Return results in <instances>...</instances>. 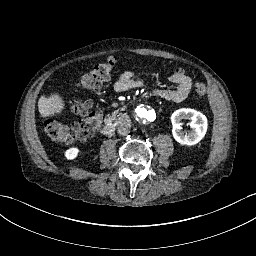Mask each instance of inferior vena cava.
Masks as SVG:
<instances>
[{
  "label": "inferior vena cava",
  "instance_id": "obj_1",
  "mask_svg": "<svg viewBox=\"0 0 256 256\" xmlns=\"http://www.w3.org/2000/svg\"><path fill=\"white\" fill-rule=\"evenodd\" d=\"M117 132L121 136H127L130 133V127L127 125H120L117 128Z\"/></svg>",
  "mask_w": 256,
  "mask_h": 256
}]
</instances>
